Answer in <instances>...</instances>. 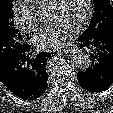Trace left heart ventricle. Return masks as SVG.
Returning a JSON list of instances; mask_svg holds the SVG:
<instances>
[{"label":"left heart ventricle","mask_w":113,"mask_h":113,"mask_svg":"<svg viewBox=\"0 0 113 113\" xmlns=\"http://www.w3.org/2000/svg\"><path fill=\"white\" fill-rule=\"evenodd\" d=\"M86 12L85 0H62L60 4L47 11L46 21L49 23L63 21L73 27L80 22Z\"/></svg>","instance_id":"b2bd125f"}]
</instances>
